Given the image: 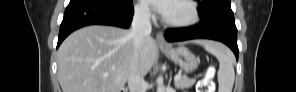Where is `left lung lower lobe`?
Listing matches in <instances>:
<instances>
[{"instance_id": "0a47b994", "label": "left lung lower lobe", "mask_w": 296, "mask_h": 92, "mask_svg": "<svg viewBox=\"0 0 296 92\" xmlns=\"http://www.w3.org/2000/svg\"><path fill=\"white\" fill-rule=\"evenodd\" d=\"M165 36L169 42L200 38L221 41L232 49L238 60L237 28L234 16H222L207 27L199 23L187 28L167 29Z\"/></svg>"}]
</instances>
